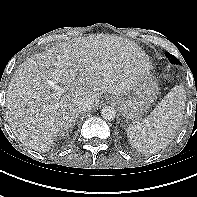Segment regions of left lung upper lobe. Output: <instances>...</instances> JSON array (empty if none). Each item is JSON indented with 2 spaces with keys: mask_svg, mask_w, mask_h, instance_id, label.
<instances>
[{
  "mask_svg": "<svg viewBox=\"0 0 197 197\" xmlns=\"http://www.w3.org/2000/svg\"><path fill=\"white\" fill-rule=\"evenodd\" d=\"M165 55H166V57L169 59V61H170L171 63H174V64H181L180 61H179L175 56H173L172 54L166 52Z\"/></svg>",
  "mask_w": 197,
  "mask_h": 197,
  "instance_id": "5c2ea615",
  "label": "left lung upper lobe"
}]
</instances>
